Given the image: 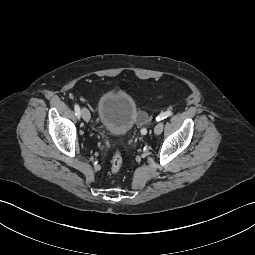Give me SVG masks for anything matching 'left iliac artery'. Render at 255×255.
Instances as JSON below:
<instances>
[{
	"label": "left iliac artery",
	"instance_id": "44dca946",
	"mask_svg": "<svg viewBox=\"0 0 255 255\" xmlns=\"http://www.w3.org/2000/svg\"><path fill=\"white\" fill-rule=\"evenodd\" d=\"M171 115H172V112H171L170 110H167V111H165V112L159 114V115L156 117V121L159 122V121H161V120H163V119H165V118H167V117H169V116H171ZM141 133H142V134H146V129H142V130H141Z\"/></svg>",
	"mask_w": 255,
	"mask_h": 255
}]
</instances>
